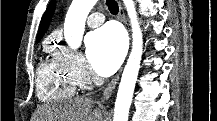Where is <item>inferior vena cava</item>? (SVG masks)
<instances>
[{"label": "inferior vena cava", "instance_id": "1", "mask_svg": "<svg viewBox=\"0 0 217 121\" xmlns=\"http://www.w3.org/2000/svg\"><path fill=\"white\" fill-rule=\"evenodd\" d=\"M98 83H99V84H102V83H103V81H102V80H100V81H98Z\"/></svg>", "mask_w": 217, "mask_h": 121}]
</instances>
